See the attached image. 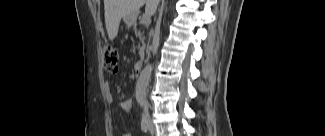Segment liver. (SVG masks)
Wrapping results in <instances>:
<instances>
[{
    "label": "liver",
    "mask_w": 325,
    "mask_h": 136,
    "mask_svg": "<svg viewBox=\"0 0 325 136\" xmlns=\"http://www.w3.org/2000/svg\"><path fill=\"white\" fill-rule=\"evenodd\" d=\"M145 3L146 12L152 14L155 10V2L152 0H104L105 24L109 40L117 36L121 18L128 15L137 17L140 7Z\"/></svg>",
    "instance_id": "obj_1"
}]
</instances>
